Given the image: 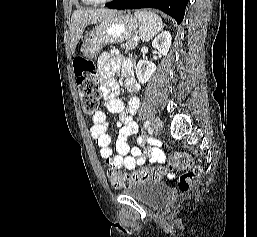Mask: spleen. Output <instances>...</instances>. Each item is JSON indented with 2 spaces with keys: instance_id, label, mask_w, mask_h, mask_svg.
<instances>
[{
  "instance_id": "spleen-1",
  "label": "spleen",
  "mask_w": 257,
  "mask_h": 237,
  "mask_svg": "<svg viewBox=\"0 0 257 237\" xmlns=\"http://www.w3.org/2000/svg\"><path fill=\"white\" fill-rule=\"evenodd\" d=\"M134 15L141 23L139 35L142 41H149L161 31L163 27L162 19L155 13L149 11H135Z\"/></svg>"
}]
</instances>
